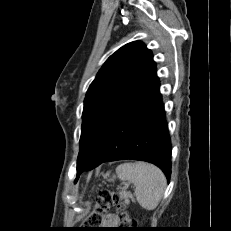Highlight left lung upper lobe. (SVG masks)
<instances>
[{
	"instance_id": "5c2ea615",
	"label": "left lung upper lobe",
	"mask_w": 231,
	"mask_h": 231,
	"mask_svg": "<svg viewBox=\"0 0 231 231\" xmlns=\"http://www.w3.org/2000/svg\"><path fill=\"white\" fill-rule=\"evenodd\" d=\"M156 67L145 44L135 41L104 63L84 101L77 168L85 164L100 136Z\"/></svg>"
}]
</instances>
